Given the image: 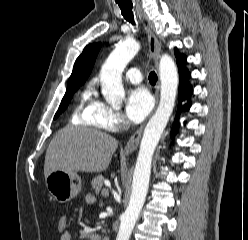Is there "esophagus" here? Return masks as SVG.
<instances>
[{"label": "esophagus", "mask_w": 248, "mask_h": 240, "mask_svg": "<svg viewBox=\"0 0 248 240\" xmlns=\"http://www.w3.org/2000/svg\"><path fill=\"white\" fill-rule=\"evenodd\" d=\"M137 12L140 18L143 19L142 16V12L140 10L139 7H137ZM147 35H148V42H149V51L151 53V55L154 58V61L156 63V65H158V60H159V56H160V50H161V45L159 43V41L157 40V38L155 37L154 33L152 32V30L150 29L149 26L145 27ZM158 95H159V85H157L156 87V100H158ZM143 129H144V125H142L129 139V141L127 142L125 148H124V152L129 154L132 153L138 146L142 133H143Z\"/></svg>", "instance_id": "34e87169"}]
</instances>
